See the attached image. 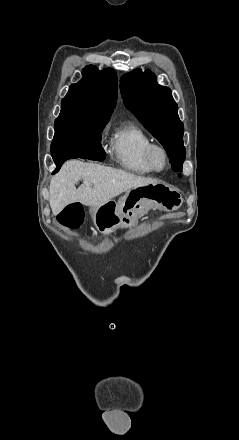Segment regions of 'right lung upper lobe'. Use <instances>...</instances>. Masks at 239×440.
Wrapping results in <instances>:
<instances>
[{"label": "right lung upper lobe", "mask_w": 239, "mask_h": 440, "mask_svg": "<svg viewBox=\"0 0 239 440\" xmlns=\"http://www.w3.org/2000/svg\"><path fill=\"white\" fill-rule=\"evenodd\" d=\"M82 80L70 86L61 102V111L82 116L109 117L113 113L117 98V75L111 68L98 70L86 66Z\"/></svg>", "instance_id": "cb5924a9"}]
</instances>
